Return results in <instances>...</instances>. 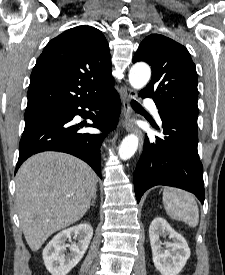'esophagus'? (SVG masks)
<instances>
[{
	"mask_svg": "<svg viewBox=\"0 0 225 275\" xmlns=\"http://www.w3.org/2000/svg\"><path fill=\"white\" fill-rule=\"evenodd\" d=\"M137 96L136 91L125 87L122 93V99H123V116H124V122L125 127L128 132H135L138 135L139 138V152H141L143 143H144V137L141 130H139L133 123L130 122V118L132 116V109L130 105V101L132 99H135Z\"/></svg>",
	"mask_w": 225,
	"mask_h": 275,
	"instance_id": "obj_1",
	"label": "esophagus"
}]
</instances>
